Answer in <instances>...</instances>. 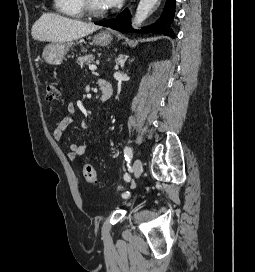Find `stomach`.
Listing matches in <instances>:
<instances>
[{
    "label": "stomach",
    "instance_id": "0dacf381",
    "mask_svg": "<svg viewBox=\"0 0 255 272\" xmlns=\"http://www.w3.org/2000/svg\"><path fill=\"white\" fill-rule=\"evenodd\" d=\"M112 39V35L109 32L101 31L94 35L93 42L99 46H107ZM69 48V43H52L44 48L42 57L50 65H59L63 62Z\"/></svg>",
    "mask_w": 255,
    "mask_h": 272
}]
</instances>
